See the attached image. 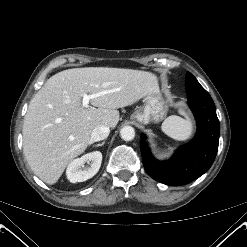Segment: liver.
<instances>
[{
  "label": "liver",
  "instance_id": "1",
  "mask_svg": "<svg viewBox=\"0 0 247 247\" xmlns=\"http://www.w3.org/2000/svg\"><path fill=\"white\" fill-rule=\"evenodd\" d=\"M157 89L153 73L133 69L85 67L53 75L32 98L24 118L23 151L31 170L45 183L55 184L92 143L95 127L115 128L118 108ZM101 92L90 100L91 107H83L84 94Z\"/></svg>",
  "mask_w": 247,
  "mask_h": 247
}]
</instances>
